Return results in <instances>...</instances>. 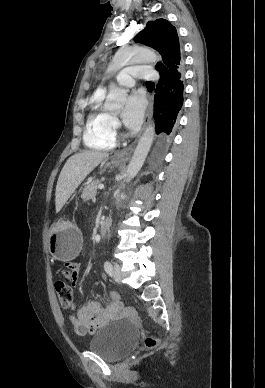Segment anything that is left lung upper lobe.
<instances>
[{
    "label": "left lung upper lobe",
    "instance_id": "1",
    "mask_svg": "<svg viewBox=\"0 0 265 388\" xmlns=\"http://www.w3.org/2000/svg\"><path fill=\"white\" fill-rule=\"evenodd\" d=\"M135 40L154 48L162 55L163 62H158L155 66L160 74L182 66L177 31L169 21L165 19L149 21Z\"/></svg>",
    "mask_w": 265,
    "mask_h": 388
}]
</instances>
